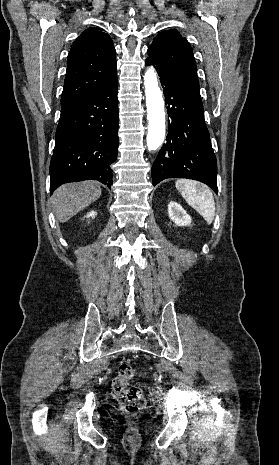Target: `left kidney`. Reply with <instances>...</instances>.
<instances>
[{
    "instance_id": "5707ae66",
    "label": "left kidney",
    "mask_w": 279,
    "mask_h": 465,
    "mask_svg": "<svg viewBox=\"0 0 279 465\" xmlns=\"http://www.w3.org/2000/svg\"><path fill=\"white\" fill-rule=\"evenodd\" d=\"M168 214L170 219L177 226H189L192 222L191 217L186 213L184 208L177 202L171 201L168 204Z\"/></svg>"
}]
</instances>
